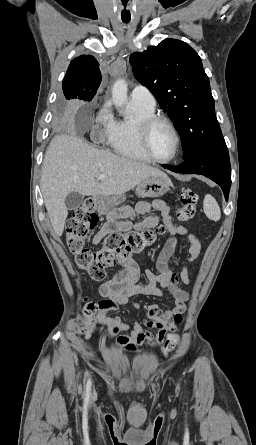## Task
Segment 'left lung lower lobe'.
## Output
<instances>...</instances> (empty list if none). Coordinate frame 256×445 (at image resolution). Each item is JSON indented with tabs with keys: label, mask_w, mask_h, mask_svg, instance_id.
Returning <instances> with one entry per match:
<instances>
[{
	"label": "left lung lower lobe",
	"mask_w": 256,
	"mask_h": 445,
	"mask_svg": "<svg viewBox=\"0 0 256 445\" xmlns=\"http://www.w3.org/2000/svg\"><path fill=\"white\" fill-rule=\"evenodd\" d=\"M173 172L204 175L216 182L228 200L231 185V168L227 147L210 148L200 151L176 168L164 166Z\"/></svg>",
	"instance_id": "0a47b994"
}]
</instances>
